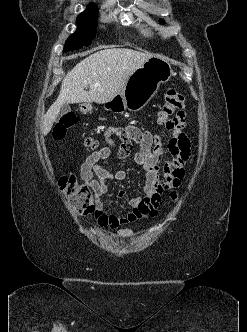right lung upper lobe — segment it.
I'll return each instance as SVG.
<instances>
[{"label":"right lung upper lobe","mask_w":247,"mask_h":332,"mask_svg":"<svg viewBox=\"0 0 247 332\" xmlns=\"http://www.w3.org/2000/svg\"><path fill=\"white\" fill-rule=\"evenodd\" d=\"M94 8H97V7L95 6V4H90V5L87 7L86 10H90V9H94Z\"/></svg>","instance_id":"obj_1"}]
</instances>
